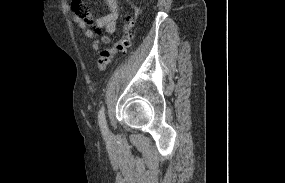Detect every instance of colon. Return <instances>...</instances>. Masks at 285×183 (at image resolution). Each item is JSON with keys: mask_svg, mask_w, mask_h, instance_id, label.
Here are the masks:
<instances>
[{"mask_svg": "<svg viewBox=\"0 0 285 183\" xmlns=\"http://www.w3.org/2000/svg\"><path fill=\"white\" fill-rule=\"evenodd\" d=\"M73 11L79 12L80 9L73 7ZM133 26V16L127 15L124 20L121 37L109 48L102 49L96 62V69L103 71L113 61L115 55L124 53L131 45V28Z\"/></svg>", "mask_w": 285, "mask_h": 183, "instance_id": "1", "label": "colon"}]
</instances>
